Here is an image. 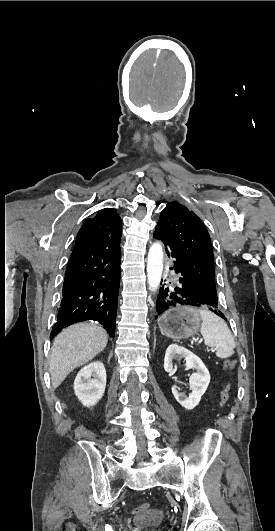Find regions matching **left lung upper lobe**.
<instances>
[{
    "instance_id": "1",
    "label": "left lung upper lobe",
    "mask_w": 275,
    "mask_h": 531,
    "mask_svg": "<svg viewBox=\"0 0 275 531\" xmlns=\"http://www.w3.org/2000/svg\"><path fill=\"white\" fill-rule=\"evenodd\" d=\"M176 252L187 284L212 305H218L214 256L210 236L201 219L178 202H169L157 226Z\"/></svg>"
}]
</instances>
